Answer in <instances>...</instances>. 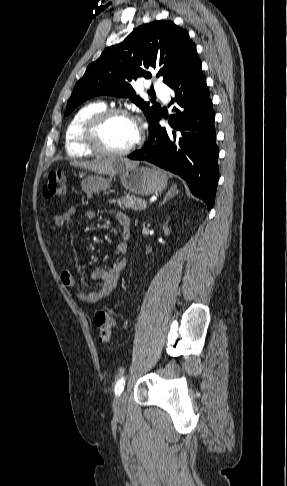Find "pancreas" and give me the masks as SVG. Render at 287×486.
I'll return each mask as SVG.
<instances>
[{
    "label": "pancreas",
    "mask_w": 287,
    "mask_h": 486,
    "mask_svg": "<svg viewBox=\"0 0 287 486\" xmlns=\"http://www.w3.org/2000/svg\"><path fill=\"white\" fill-rule=\"evenodd\" d=\"M119 205L121 208H126V209H132L135 211H141L145 208H143V205L145 204V201L142 200L141 198L135 197V196H130L126 195L124 197H121L117 199Z\"/></svg>",
    "instance_id": "pancreas-1"
}]
</instances>
